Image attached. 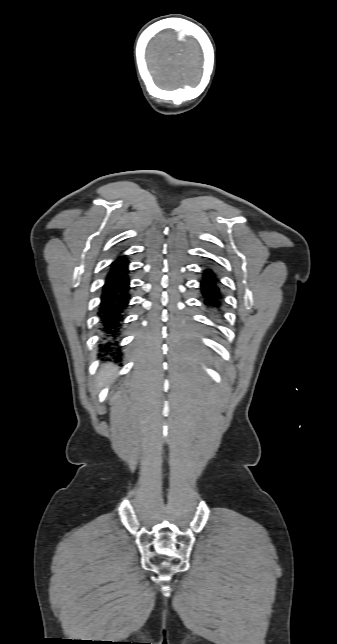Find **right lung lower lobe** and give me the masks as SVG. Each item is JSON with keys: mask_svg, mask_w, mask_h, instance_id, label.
Returning a JSON list of instances; mask_svg holds the SVG:
<instances>
[{"mask_svg": "<svg viewBox=\"0 0 337 644\" xmlns=\"http://www.w3.org/2000/svg\"><path fill=\"white\" fill-rule=\"evenodd\" d=\"M128 274V260L123 257L117 258L110 265L102 288L98 315L104 340L108 341L102 348L104 351H113L114 346L118 344L116 339L120 335L125 310L130 300ZM116 350L120 351L119 348Z\"/></svg>", "mask_w": 337, "mask_h": 644, "instance_id": "obj_1", "label": "right lung lower lobe"}]
</instances>
